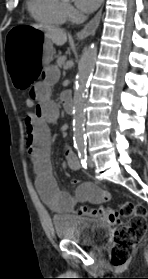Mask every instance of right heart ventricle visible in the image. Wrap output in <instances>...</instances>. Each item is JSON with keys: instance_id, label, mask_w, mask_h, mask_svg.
<instances>
[{"instance_id": "1", "label": "right heart ventricle", "mask_w": 148, "mask_h": 279, "mask_svg": "<svg viewBox=\"0 0 148 279\" xmlns=\"http://www.w3.org/2000/svg\"><path fill=\"white\" fill-rule=\"evenodd\" d=\"M27 8L35 21L47 26L62 25L67 19L62 0H28Z\"/></svg>"}]
</instances>
